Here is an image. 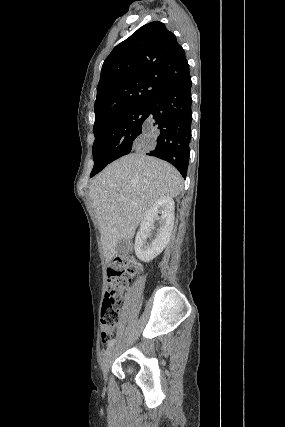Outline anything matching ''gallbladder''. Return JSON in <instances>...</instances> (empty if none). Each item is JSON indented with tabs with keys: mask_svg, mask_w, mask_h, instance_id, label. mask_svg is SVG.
<instances>
[{
	"mask_svg": "<svg viewBox=\"0 0 285 427\" xmlns=\"http://www.w3.org/2000/svg\"><path fill=\"white\" fill-rule=\"evenodd\" d=\"M116 248H117L118 252H121L124 249V242L118 241Z\"/></svg>",
	"mask_w": 285,
	"mask_h": 427,
	"instance_id": "bac80fb5",
	"label": "gallbladder"
}]
</instances>
